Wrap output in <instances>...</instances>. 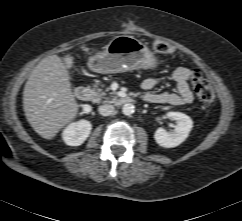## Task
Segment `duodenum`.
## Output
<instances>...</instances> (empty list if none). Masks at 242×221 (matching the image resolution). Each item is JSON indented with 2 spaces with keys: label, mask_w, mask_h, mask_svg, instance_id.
<instances>
[{
  "label": "duodenum",
  "mask_w": 242,
  "mask_h": 221,
  "mask_svg": "<svg viewBox=\"0 0 242 221\" xmlns=\"http://www.w3.org/2000/svg\"><path fill=\"white\" fill-rule=\"evenodd\" d=\"M75 96L79 101L87 102L92 98L90 89L84 86H79L75 90ZM134 102V98L130 96L118 97L114 100L116 106H124Z\"/></svg>",
  "instance_id": "duodenum-1"
}]
</instances>
